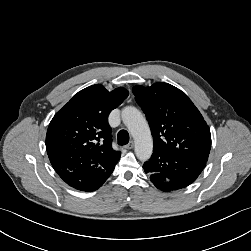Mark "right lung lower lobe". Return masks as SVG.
Here are the masks:
<instances>
[{"mask_svg":"<svg viewBox=\"0 0 251 251\" xmlns=\"http://www.w3.org/2000/svg\"><path fill=\"white\" fill-rule=\"evenodd\" d=\"M49 159L53 168L68 185L82 191L98 189L112 173L103 171L96 162L80 163L72 160L67 151L59 152Z\"/></svg>","mask_w":251,"mask_h":251,"instance_id":"1","label":"right lung lower lobe"}]
</instances>
